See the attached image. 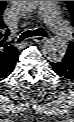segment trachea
<instances>
[{
	"label": "trachea",
	"instance_id": "trachea-1",
	"mask_svg": "<svg viewBox=\"0 0 74 122\" xmlns=\"http://www.w3.org/2000/svg\"><path fill=\"white\" fill-rule=\"evenodd\" d=\"M32 36L46 37V36H48V34L42 28H38V29H35V30H27V31H25L24 33H22L20 35V37L18 38L17 42L19 43V42L23 41L24 39L30 38Z\"/></svg>",
	"mask_w": 74,
	"mask_h": 122
}]
</instances>
